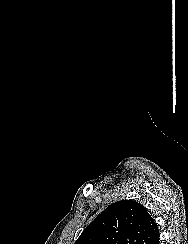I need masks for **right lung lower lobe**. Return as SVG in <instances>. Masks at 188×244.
<instances>
[{
    "mask_svg": "<svg viewBox=\"0 0 188 244\" xmlns=\"http://www.w3.org/2000/svg\"><path fill=\"white\" fill-rule=\"evenodd\" d=\"M149 244H160L159 233L152 238V240L149 242Z\"/></svg>",
    "mask_w": 188,
    "mask_h": 244,
    "instance_id": "98d812e1",
    "label": "right lung lower lobe"
}]
</instances>
